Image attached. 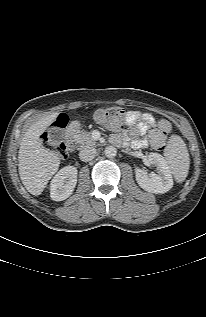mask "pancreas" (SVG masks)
Returning <instances> with one entry per match:
<instances>
[{
	"label": "pancreas",
	"mask_w": 206,
	"mask_h": 317,
	"mask_svg": "<svg viewBox=\"0 0 206 317\" xmlns=\"http://www.w3.org/2000/svg\"><path fill=\"white\" fill-rule=\"evenodd\" d=\"M71 138L81 147L94 146L96 141L91 137L90 132L72 130Z\"/></svg>",
	"instance_id": "cf45deb5"
}]
</instances>
